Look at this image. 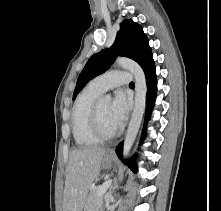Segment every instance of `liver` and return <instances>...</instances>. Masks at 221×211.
I'll list each match as a JSON object with an SVG mask.
<instances>
[{
    "label": "liver",
    "instance_id": "1",
    "mask_svg": "<svg viewBox=\"0 0 221 211\" xmlns=\"http://www.w3.org/2000/svg\"><path fill=\"white\" fill-rule=\"evenodd\" d=\"M106 150L99 147L70 152L63 195V211H82L88 190L100 172Z\"/></svg>",
    "mask_w": 221,
    "mask_h": 211
}]
</instances>
